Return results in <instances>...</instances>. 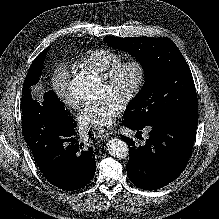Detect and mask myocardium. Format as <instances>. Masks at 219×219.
<instances>
[{"mask_svg":"<svg viewBox=\"0 0 219 219\" xmlns=\"http://www.w3.org/2000/svg\"><path fill=\"white\" fill-rule=\"evenodd\" d=\"M127 68H133L135 70L136 78L132 88L120 102L124 106L131 104L142 91L147 76V70L145 64L140 59L130 58L121 61L118 65H116L113 69H111L106 75L101 77L102 82L105 85H107L108 87H112L117 82L122 72Z\"/></svg>","mask_w":219,"mask_h":219,"instance_id":"f54148a6","label":"myocardium"}]
</instances>
